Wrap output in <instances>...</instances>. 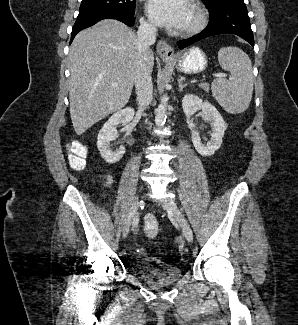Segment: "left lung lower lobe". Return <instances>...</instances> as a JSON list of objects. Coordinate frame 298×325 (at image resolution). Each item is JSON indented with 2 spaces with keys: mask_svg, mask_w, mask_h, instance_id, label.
Wrapping results in <instances>:
<instances>
[{
  "mask_svg": "<svg viewBox=\"0 0 298 325\" xmlns=\"http://www.w3.org/2000/svg\"><path fill=\"white\" fill-rule=\"evenodd\" d=\"M236 34L254 47V37L244 0H238L218 8L210 13L208 26L199 34L177 42L183 49L201 39L218 34Z\"/></svg>",
  "mask_w": 298,
  "mask_h": 325,
  "instance_id": "0a47b994",
  "label": "left lung lower lobe"
}]
</instances>
